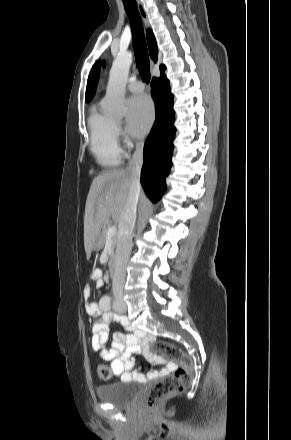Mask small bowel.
<instances>
[{
	"mask_svg": "<svg viewBox=\"0 0 291 440\" xmlns=\"http://www.w3.org/2000/svg\"><path fill=\"white\" fill-rule=\"evenodd\" d=\"M101 276L102 273L99 270L92 274V279L99 287L103 284ZM91 292L92 288L89 285L83 289L85 309L93 317L91 345L99 358L110 365L114 375L145 383L166 376L177 368L175 361H166L149 355V343L155 338L150 332L136 330L133 334L115 333L112 337V343L109 344L110 323L120 322L126 325L127 319L109 311L110 303L107 298H103L99 304L92 302ZM136 352H143L153 363L152 369L147 375L141 371H132L135 366L132 355ZM157 364L164 366L158 369Z\"/></svg>",
	"mask_w": 291,
	"mask_h": 440,
	"instance_id": "1",
	"label": "small bowel"
}]
</instances>
